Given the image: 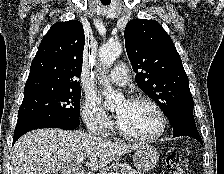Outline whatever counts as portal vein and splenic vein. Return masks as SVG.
I'll return each mask as SVG.
<instances>
[{
  "label": "portal vein and splenic vein",
  "mask_w": 224,
  "mask_h": 174,
  "mask_svg": "<svg viewBox=\"0 0 224 174\" xmlns=\"http://www.w3.org/2000/svg\"><path fill=\"white\" fill-rule=\"evenodd\" d=\"M83 160H84V157H78V158H76V161H77L78 163H82Z\"/></svg>",
  "instance_id": "obj_1"
}]
</instances>
